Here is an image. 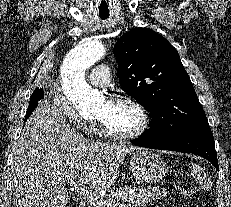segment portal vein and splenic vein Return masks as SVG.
Wrapping results in <instances>:
<instances>
[{
    "mask_svg": "<svg viewBox=\"0 0 231 207\" xmlns=\"http://www.w3.org/2000/svg\"><path fill=\"white\" fill-rule=\"evenodd\" d=\"M70 184L75 187L81 194H84L87 199L94 201V202H101L103 203L104 196L97 194L96 192H93L92 190H89L87 187L82 186L79 184L78 186L76 185L75 182L71 181ZM109 206L113 207H128L124 202L123 203H113L109 204Z\"/></svg>",
    "mask_w": 231,
    "mask_h": 207,
    "instance_id": "1",
    "label": "portal vein and splenic vein"
}]
</instances>
